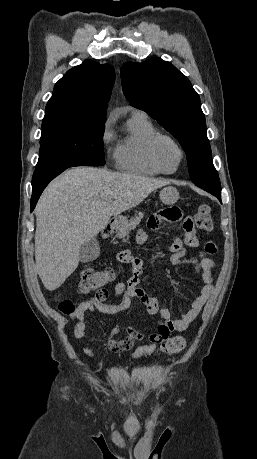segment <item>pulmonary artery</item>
Masks as SVG:
<instances>
[{
  "mask_svg": "<svg viewBox=\"0 0 257 459\" xmlns=\"http://www.w3.org/2000/svg\"><path fill=\"white\" fill-rule=\"evenodd\" d=\"M134 113H142V112L135 110Z\"/></svg>",
  "mask_w": 257,
  "mask_h": 459,
  "instance_id": "obj_1",
  "label": "pulmonary artery"
}]
</instances>
